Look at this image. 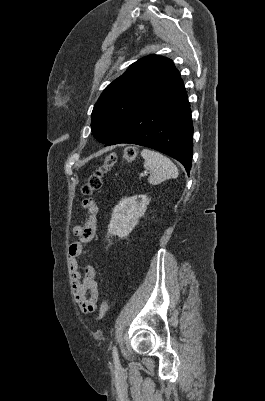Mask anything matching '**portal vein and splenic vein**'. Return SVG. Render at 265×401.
I'll return each instance as SVG.
<instances>
[{
  "label": "portal vein and splenic vein",
  "instance_id": "portal-vein-and-splenic-vein-1",
  "mask_svg": "<svg viewBox=\"0 0 265 401\" xmlns=\"http://www.w3.org/2000/svg\"><path fill=\"white\" fill-rule=\"evenodd\" d=\"M147 170H144V172H141L140 176H144L146 174Z\"/></svg>",
  "mask_w": 265,
  "mask_h": 401
}]
</instances>
